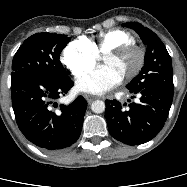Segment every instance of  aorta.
Wrapping results in <instances>:
<instances>
[{"label": "aorta", "mask_w": 187, "mask_h": 187, "mask_svg": "<svg viewBox=\"0 0 187 187\" xmlns=\"http://www.w3.org/2000/svg\"><path fill=\"white\" fill-rule=\"evenodd\" d=\"M91 110L94 113H103L105 111V103L102 100H96L91 104Z\"/></svg>", "instance_id": "obj_1"}]
</instances>
